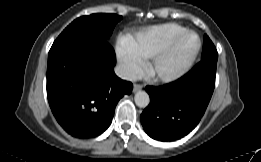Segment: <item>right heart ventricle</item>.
<instances>
[{
  "label": "right heart ventricle",
  "mask_w": 261,
  "mask_h": 162,
  "mask_svg": "<svg viewBox=\"0 0 261 162\" xmlns=\"http://www.w3.org/2000/svg\"><path fill=\"white\" fill-rule=\"evenodd\" d=\"M185 30L184 26L177 23L147 27L137 31L129 38V46L142 59L151 58L172 38Z\"/></svg>",
  "instance_id": "1"
}]
</instances>
